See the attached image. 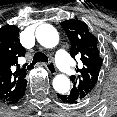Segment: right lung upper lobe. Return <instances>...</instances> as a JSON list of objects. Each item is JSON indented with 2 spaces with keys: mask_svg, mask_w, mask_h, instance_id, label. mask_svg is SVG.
<instances>
[{
  "mask_svg": "<svg viewBox=\"0 0 117 117\" xmlns=\"http://www.w3.org/2000/svg\"><path fill=\"white\" fill-rule=\"evenodd\" d=\"M18 37L19 29L14 25L0 29V100L7 103L27 82V69L18 64L19 57L25 55Z\"/></svg>",
  "mask_w": 117,
  "mask_h": 117,
  "instance_id": "1",
  "label": "right lung upper lobe"
}]
</instances>
